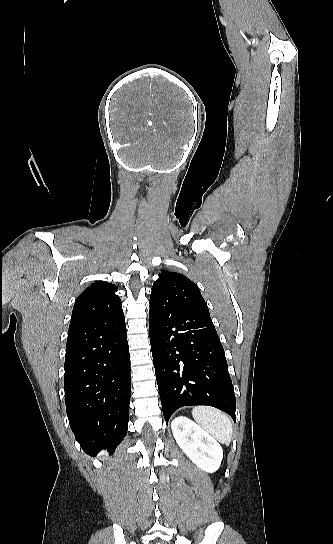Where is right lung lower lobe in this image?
Listing matches in <instances>:
<instances>
[{"label": "right lung lower lobe", "instance_id": "98d812e1", "mask_svg": "<svg viewBox=\"0 0 333 544\" xmlns=\"http://www.w3.org/2000/svg\"><path fill=\"white\" fill-rule=\"evenodd\" d=\"M64 389L70 427L89 455L116 447L128 428L130 359L123 312L69 331Z\"/></svg>", "mask_w": 333, "mask_h": 544}]
</instances>
